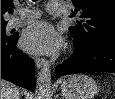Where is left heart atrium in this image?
<instances>
[{
    "label": "left heart atrium",
    "instance_id": "left-heart-atrium-1",
    "mask_svg": "<svg viewBox=\"0 0 115 99\" xmlns=\"http://www.w3.org/2000/svg\"><path fill=\"white\" fill-rule=\"evenodd\" d=\"M62 38L58 31L47 22L29 26L21 38V46L32 53L52 54L59 50Z\"/></svg>",
    "mask_w": 115,
    "mask_h": 99
}]
</instances>
